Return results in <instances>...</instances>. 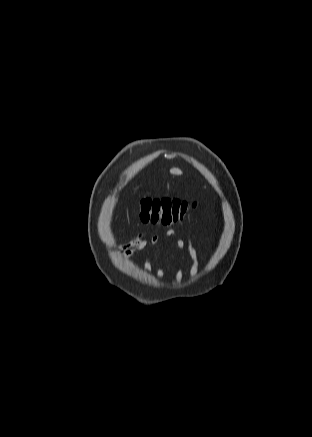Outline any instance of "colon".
<instances>
[{"label":"colon","mask_w":312,"mask_h":437,"mask_svg":"<svg viewBox=\"0 0 312 437\" xmlns=\"http://www.w3.org/2000/svg\"><path fill=\"white\" fill-rule=\"evenodd\" d=\"M197 207L195 202L173 198H145L140 202L143 223L169 225L185 220Z\"/></svg>","instance_id":"obj_1"}]
</instances>
